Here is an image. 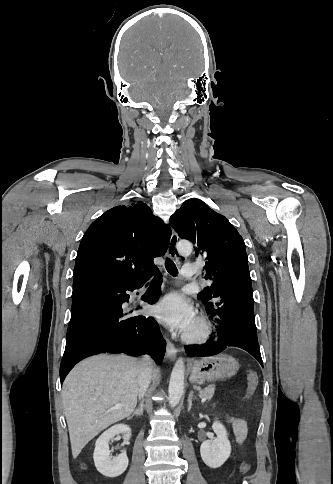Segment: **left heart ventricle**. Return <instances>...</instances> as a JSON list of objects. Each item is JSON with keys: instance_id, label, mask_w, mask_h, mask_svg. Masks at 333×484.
<instances>
[{"instance_id": "1", "label": "left heart ventricle", "mask_w": 333, "mask_h": 484, "mask_svg": "<svg viewBox=\"0 0 333 484\" xmlns=\"http://www.w3.org/2000/svg\"><path fill=\"white\" fill-rule=\"evenodd\" d=\"M197 330H198V324L196 321H194V323L191 325V327L188 329L187 332L192 333V332H196Z\"/></svg>"}]
</instances>
